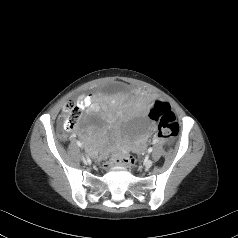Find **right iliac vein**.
<instances>
[{
  "instance_id": "right-iliac-vein-1",
  "label": "right iliac vein",
  "mask_w": 238,
  "mask_h": 238,
  "mask_svg": "<svg viewBox=\"0 0 238 238\" xmlns=\"http://www.w3.org/2000/svg\"><path fill=\"white\" fill-rule=\"evenodd\" d=\"M80 158L83 161L84 165L89 166V163L87 162V160L84 158L83 155H80Z\"/></svg>"
}]
</instances>
